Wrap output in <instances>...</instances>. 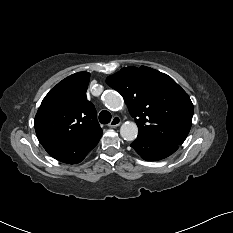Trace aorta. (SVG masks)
Returning a JSON list of instances; mask_svg holds the SVG:
<instances>
[{
    "mask_svg": "<svg viewBox=\"0 0 233 233\" xmlns=\"http://www.w3.org/2000/svg\"><path fill=\"white\" fill-rule=\"evenodd\" d=\"M104 103L110 110H119L123 106L122 97L115 91L104 93ZM120 135L126 141H134L138 135V127L134 122H125L121 125Z\"/></svg>",
    "mask_w": 233,
    "mask_h": 233,
    "instance_id": "762f6f07",
    "label": "aorta"
}]
</instances>
